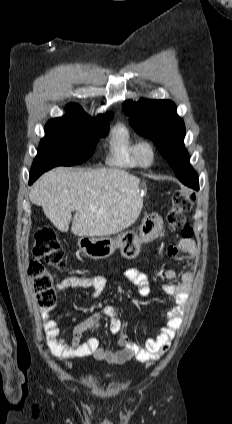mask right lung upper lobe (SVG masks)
<instances>
[{
    "mask_svg": "<svg viewBox=\"0 0 232 424\" xmlns=\"http://www.w3.org/2000/svg\"><path fill=\"white\" fill-rule=\"evenodd\" d=\"M68 111H69V116H76V117H82V118H86L91 120V118L89 117V115H87L83 109L77 105V104H71L68 107ZM112 116L111 113H107L105 115H99L98 116V121L104 120L108 117Z\"/></svg>",
    "mask_w": 232,
    "mask_h": 424,
    "instance_id": "right-lung-upper-lobe-1",
    "label": "right lung upper lobe"
}]
</instances>
